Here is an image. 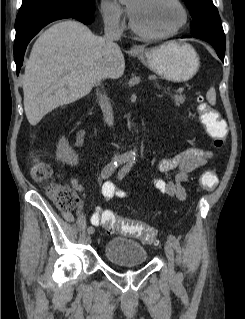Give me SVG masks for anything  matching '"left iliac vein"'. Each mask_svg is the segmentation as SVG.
<instances>
[{
    "mask_svg": "<svg viewBox=\"0 0 245 319\" xmlns=\"http://www.w3.org/2000/svg\"><path fill=\"white\" fill-rule=\"evenodd\" d=\"M164 251L169 261V279L172 282H175L177 280V276L174 270V250L169 242L165 243Z\"/></svg>",
    "mask_w": 245,
    "mask_h": 319,
    "instance_id": "4c4485c4",
    "label": "left iliac vein"
}]
</instances>
